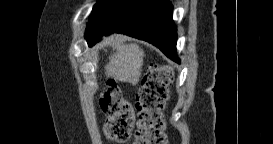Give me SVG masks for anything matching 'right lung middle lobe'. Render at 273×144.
I'll return each instance as SVG.
<instances>
[{
  "label": "right lung middle lobe",
  "mask_w": 273,
  "mask_h": 144,
  "mask_svg": "<svg viewBox=\"0 0 273 144\" xmlns=\"http://www.w3.org/2000/svg\"><path fill=\"white\" fill-rule=\"evenodd\" d=\"M117 0H98L94 5L92 13L89 17V23L86 29V35L90 34L96 25L100 22L105 12L110 6H112Z\"/></svg>",
  "instance_id": "right-lung-middle-lobe-1"
}]
</instances>
